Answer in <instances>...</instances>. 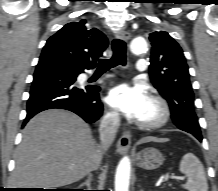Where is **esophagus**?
I'll return each instance as SVG.
<instances>
[{
	"instance_id": "obj_1",
	"label": "esophagus",
	"mask_w": 218,
	"mask_h": 191,
	"mask_svg": "<svg viewBox=\"0 0 218 191\" xmlns=\"http://www.w3.org/2000/svg\"><path fill=\"white\" fill-rule=\"evenodd\" d=\"M117 38L122 39L126 42L129 41L130 39V34L121 29L120 31L117 32L116 34ZM131 145V133L129 130L125 129L122 136L119 138L116 148L117 152L120 154H124L129 151Z\"/></svg>"
}]
</instances>
